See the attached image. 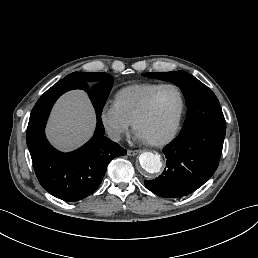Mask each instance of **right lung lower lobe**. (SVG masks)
I'll return each mask as SVG.
<instances>
[{
	"instance_id": "1",
	"label": "right lung lower lobe",
	"mask_w": 258,
	"mask_h": 258,
	"mask_svg": "<svg viewBox=\"0 0 258 258\" xmlns=\"http://www.w3.org/2000/svg\"><path fill=\"white\" fill-rule=\"evenodd\" d=\"M78 78L65 77L48 89L35 104L28 123L26 141L41 186L53 196L68 202L81 200L100 185L109 162L127 152L104 136L101 115H97L94 136L81 148L62 153L45 136V125L55 101L65 92L82 89L93 101L95 89Z\"/></svg>"
}]
</instances>
